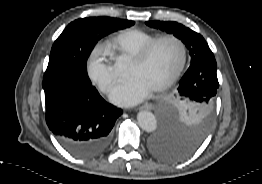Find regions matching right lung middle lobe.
Wrapping results in <instances>:
<instances>
[{
	"mask_svg": "<svg viewBox=\"0 0 262 184\" xmlns=\"http://www.w3.org/2000/svg\"><path fill=\"white\" fill-rule=\"evenodd\" d=\"M134 23L111 17H88L71 22L52 46L43 79L68 73L88 78L85 65L98 40Z\"/></svg>",
	"mask_w": 262,
	"mask_h": 184,
	"instance_id": "obj_1",
	"label": "right lung middle lobe"
}]
</instances>
